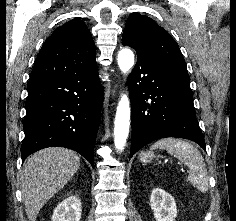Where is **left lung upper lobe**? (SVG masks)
Listing matches in <instances>:
<instances>
[{
	"label": "left lung upper lobe",
	"instance_id": "5c2ea615",
	"mask_svg": "<svg viewBox=\"0 0 236 221\" xmlns=\"http://www.w3.org/2000/svg\"><path fill=\"white\" fill-rule=\"evenodd\" d=\"M122 43L134 48L137 54L171 65L185 73V60L178 44L153 19L133 13L126 22Z\"/></svg>",
	"mask_w": 236,
	"mask_h": 221
}]
</instances>
